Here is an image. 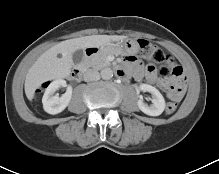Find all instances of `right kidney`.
I'll return each instance as SVG.
<instances>
[{"label": "right kidney", "mask_w": 219, "mask_h": 174, "mask_svg": "<svg viewBox=\"0 0 219 174\" xmlns=\"http://www.w3.org/2000/svg\"><path fill=\"white\" fill-rule=\"evenodd\" d=\"M60 87H67L66 92L61 96L54 95ZM72 97V87L67 86L63 79H57L49 84L42 98L44 110L52 115L62 112L69 104Z\"/></svg>", "instance_id": "ca27d5eb"}]
</instances>
